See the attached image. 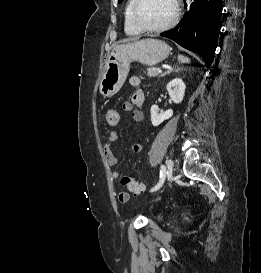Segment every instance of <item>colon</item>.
Here are the masks:
<instances>
[{"label": "colon", "instance_id": "colon-1", "mask_svg": "<svg viewBox=\"0 0 261 273\" xmlns=\"http://www.w3.org/2000/svg\"><path fill=\"white\" fill-rule=\"evenodd\" d=\"M104 119L109 126H116L119 123V113L115 109H108L104 114ZM121 183L133 195H140L145 190L143 184L130 176H124Z\"/></svg>", "mask_w": 261, "mask_h": 273}]
</instances>
